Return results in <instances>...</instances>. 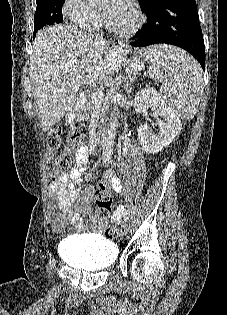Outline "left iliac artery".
<instances>
[{"label":"left iliac artery","mask_w":227,"mask_h":315,"mask_svg":"<svg viewBox=\"0 0 227 315\" xmlns=\"http://www.w3.org/2000/svg\"><path fill=\"white\" fill-rule=\"evenodd\" d=\"M129 214H130V211H129V210H126L125 213H124V217H123L125 223H126V222L128 221V219H129Z\"/></svg>","instance_id":"1"}]
</instances>
